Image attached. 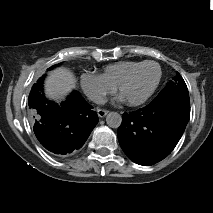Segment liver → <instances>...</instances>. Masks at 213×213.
Returning a JSON list of instances; mask_svg holds the SVG:
<instances>
[{"instance_id": "6515ba94", "label": "liver", "mask_w": 213, "mask_h": 213, "mask_svg": "<svg viewBox=\"0 0 213 213\" xmlns=\"http://www.w3.org/2000/svg\"><path fill=\"white\" fill-rule=\"evenodd\" d=\"M76 78L67 68H57L45 81V94L50 99L61 101L75 87Z\"/></svg>"}]
</instances>
